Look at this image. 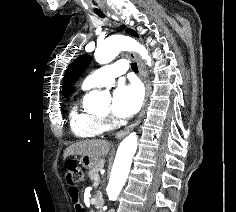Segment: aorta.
I'll use <instances>...</instances> for the list:
<instances>
[{
  "instance_id": "obj_1",
  "label": "aorta",
  "mask_w": 236,
  "mask_h": 212,
  "mask_svg": "<svg viewBox=\"0 0 236 212\" xmlns=\"http://www.w3.org/2000/svg\"><path fill=\"white\" fill-rule=\"evenodd\" d=\"M133 50L151 64V57L148 50L137 41L123 35H113L100 43L95 51V60L99 64L111 62L121 51ZM110 96L98 90L89 92L84 98L87 108H96L104 102H109ZM138 139L135 133H131L120 143L112 167L109 183L106 192L109 200L116 201L128 177L132 158L136 152Z\"/></svg>"
}]
</instances>
